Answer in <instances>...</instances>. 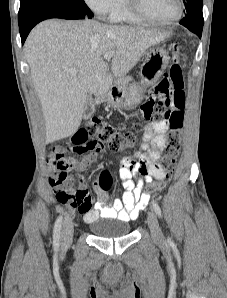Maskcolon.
<instances>
[{
	"label": "colon",
	"instance_id": "colon-1",
	"mask_svg": "<svg viewBox=\"0 0 227 298\" xmlns=\"http://www.w3.org/2000/svg\"><path fill=\"white\" fill-rule=\"evenodd\" d=\"M180 51V45L174 44L172 46L173 64L169 70V80L171 92V103H145L155 104V107H159V112L156 115H145L146 117H156L157 121L153 124L161 123V117H167L170 132L167 134V147L166 156L161 161V166L165 170L164 175L156 182L150 184L147 189V194H156L164 188L169 180L175 157L178 149V130L183 126L184 121V106H185V92H184V80L182 69L178 64V55ZM156 95H164V92H156ZM165 96V95H164ZM163 110H170V115H163ZM135 130H140V126L136 125ZM94 137V140L89 141ZM134 133L131 131L120 132L118 129L100 119H91L86 126L80 128L71 139V145L69 146H82L83 142H108L109 148L118 151L125 146H130L134 143ZM99 152V151H95ZM112 184V177L109 171H102L99 179V187L103 191L110 189ZM57 200L63 204L74 205L79 203L81 199V193L71 189H57Z\"/></svg>",
	"mask_w": 227,
	"mask_h": 298
}]
</instances>
